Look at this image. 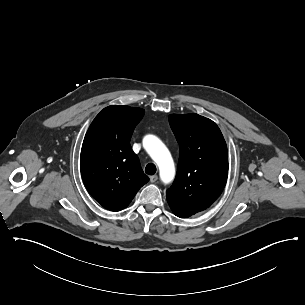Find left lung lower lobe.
I'll list each match as a JSON object with an SVG mask.
<instances>
[{"label": "left lung lower lobe", "instance_id": "obj_1", "mask_svg": "<svg viewBox=\"0 0 305 305\" xmlns=\"http://www.w3.org/2000/svg\"><path fill=\"white\" fill-rule=\"evenodd\" d=\"M172 211H173V213H174L176 216H178V217H180V218L189 217V216H186V215H184V214H181L180 212H177V211H174V210H172Z\"/></svg>", "mask_w": 305, "mask_h": 305}]
</instances>
